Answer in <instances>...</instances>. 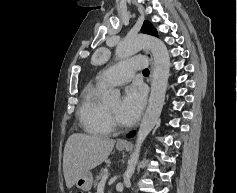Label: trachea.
<instances>
[{
    "mask_svg": "<svg viewBox=\"0 0 237 193\" xmlns=\"http://www.w3.org/2000/svg\"><path fill=\"white\" fill-rule=\"evenodd\" d=\"M143 74L149 75V70L148 69H144L143 70Z\"/></svg>",
    "mask_w": 237,
    "mask_h": 193,
    "instance_id": "trachea-1",
    "label": "trachea"
}]
</instances>
